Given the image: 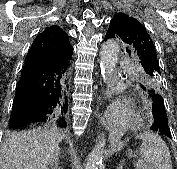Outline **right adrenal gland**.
<instances>
[{
	"label": "right adrenal gland",
	"instance_id": "2a0ac1e0",
	"mask_svg": "<svg viewBox=\"0 0 177 169\" xmlns=\"http://www.w3.org/2000/svg\"><path fill=\"white\" fill-rule=\"evenodd\" d=\"M56 158L54 160L53 165L50 166L51 169H61L59 166V149L56 151Z\"/></svg>",
	"mask_w": 177,
	"mask_h": 169
}]
</instances>
